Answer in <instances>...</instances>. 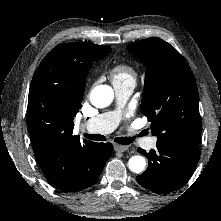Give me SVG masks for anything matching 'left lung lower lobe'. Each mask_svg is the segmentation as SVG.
<instances>
[{"mask_svg":"<svg viewBox=\"0 0 221 221\" xmlns=\"http://www.w3.org/2000/svg\"><path fill=\"white\" fill-rule=\"evenodd\" d=\"M137 151L147 157L148 168L136 180L146 189L158 193L180 188L191 176L200 156L198 147L161 143L149 153L141 148Z\"/></svg>","mask_w":221,"mask_h":221,"instance_id":"obj_1","label":"left lung lower lobe"}]
</instances>
